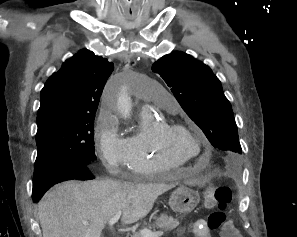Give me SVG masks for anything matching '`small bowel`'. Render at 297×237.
<instances>
[{
    "mask_svg": "<svg viewBox=\"0 0 297 237\" xmlns=\"http://www.w3.org/2000/svg\"><path fill=\"white\" fill-rule=\"evenodd\" d=\"M191 229L197 237H211L205 220L199 219L192 223Z\"/></svg>",
    "mask_w": 297,
    "mask_h": 237,
    "instance_id": "small-bowel-1",
    "label": "small bowel"
}]
</instances>
